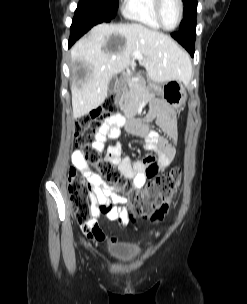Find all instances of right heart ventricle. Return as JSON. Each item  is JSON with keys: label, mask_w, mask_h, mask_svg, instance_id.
<instances>
[{"label": "right heart ventricle", "mask_w": 247, "mask_h": 304, "mask_svg": "<svg viewBox=\"0 0 247 304\" xmlns=\"http://www.w3.org/2000/svg\"><path fill=\"white\" fill-rule=\"evenodd\" d=\"M154 4L155 0H125L123 14L132 21L153 29H160L162 27L156 19Z\"/></svg>", "instance_id": "1"}]
</instances>
